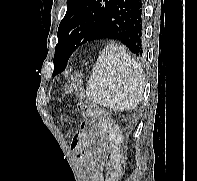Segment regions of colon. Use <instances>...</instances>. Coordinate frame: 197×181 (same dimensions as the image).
I'll return each instance as SVG.
<instances>
[{"label":"colon","instance_id":"5ec220e1","mask_svg":"<svg viewBox=\"0 0 197 181\" xmlns=\"http://www.w3.org/2000/svg\"><path fill=\"white\" fill-rule=\"evenodd\" d=\"M66 90L79 92V112L87 122L94 123L97 130L105 137L108 148L106 181H116L122 174L121 129L112 123L105 110L81 93V77L78 74L70 76Z\"/></svg>","mask_w":197,"mask_h":181}]
</instances>
